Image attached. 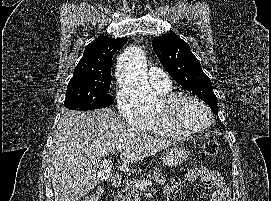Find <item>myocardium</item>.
Wrapping results in <instances>:
<instances>
[{
	"label": "myocardium",
	"instance_id": "obj_1",
	"mask_svg": "<svg viewBox=\"0 0 271 201\" xmlns=\"http://www.w3.org/2000/svg\"><path fill=\"white\" fill-rule=\"evenodd\" d=\"M184 101H193L202 106L209 115V122L203 127L192 128L181 122L177 115L179 105ZM161 109L157 112L156 116L163 124L170 129L187 135L197 134L206 131L214 123V115L211 108L202 99L187 93L175 92L168 93L161 97Z\"/></svg>",
	"mask_w": 271,
	"mask_h": 201
}]
</instances>
